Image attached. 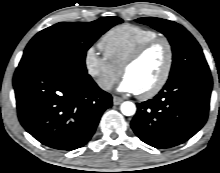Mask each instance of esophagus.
I'll list each match as a JSON object with an SVG mask.
<instances>
[{
    "label": "esophagus",
    "mask_w": 220,
    "mask_h": 173,
    "mask_svg": "<svg viewBox=\"0 0 220 173\" xmlns=\"http://www.w3.org/2000/svg\"><path fill=\"white\" fill-rule=\"evenodd\" d=\"M123 102V99L118 97V96H114L113 97V104L114 105H120Z\"/></svg>",
    "instance_id": "obj_1"
}]
</instances>
